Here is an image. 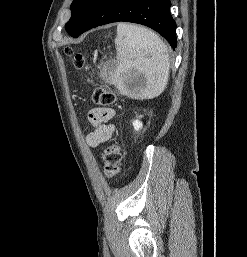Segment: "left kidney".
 Returning a JSON list of instances; mask_svg holds the SVG:
<instances>
[{"instance_id":"1","label":"left kidney","mask_w":247,"mask_h":257,"mask_svg":"<svg viewBox=\"0 0 247 257\" xmlns=\"http://www.w3.org/2000/svg\"><path fill=\"white\" fill-rule=\"evenodd\" d=\"M133 126L136 131H139L140 129H142L143 124L140 120L136 119L133 121Z\"/></svg>"}]
</instances>
